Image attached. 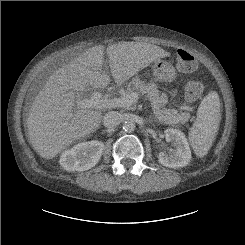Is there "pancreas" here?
Instances as JSON below:
<instances>
[{"instance_id": "cf45deb5", "label": "pancreas", "mask_w": 245, "mask_h": 245, "mask_svg": "<svg viewBox=\"0 0 245 245\" xmlns=\"http://www.w3.org/2000/svg\"><path fill=\"white\" fill-rule=\"evenodd\" d=\"M131 92L145 94L151 103L154 116L163 124L174 125L185 123L190 119V113L188 112L179 113L176 109L165 108V105L168 103L167 96L158 90L157 85L153 81L146 83V81L135 77L129 82L124 95Z\"/></svg>"}]
</instances>
